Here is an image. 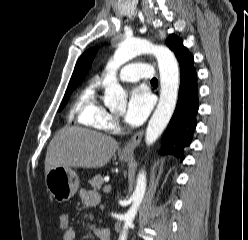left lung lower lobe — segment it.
<instances>
[{
  "label": "left lung lower lobe",
  "instance_id": "0a47b994",
  "mask_svg": "<svg viewBox=\"0 0 248 240\" xmlns=\"http://www.w3.org/2000/svg\"><path fill=\"white\" fill-rule=\"evenodd\" d=\"M199 90L193 55L180 63V87L177 105L163 137L160 154L173 155L184 160V148L188 147L196 128L199 108Z\"/></svg>",
  "mask_w": 248,
  "mask_h": 240
}]
</instances>
